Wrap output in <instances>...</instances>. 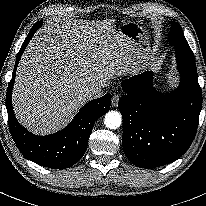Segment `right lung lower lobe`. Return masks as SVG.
Masks as SVG:
<instances>
[{"instance_id": "obj_1", "label": "right lung lower lobe", "mask_w": 206, "mask_h": 206, "mask_svg": "<svg viewBox=\"0 0 206 206\" xmlns=\"http://www.w3.org/2000/svg\"><path fill=\"white\" fill-rule=\"evenodd\" d=\"M41 25L42 22L39 21L32 27L16 58L6 95L8 125L14 142L27 159L44 167L64 169L73 166L83 157L95 121L110 110L111 94L88 102L67 127L55 134L36 136L22 127L12 108L13 84L21 55Z\"/></svg>"}]
</instances>
